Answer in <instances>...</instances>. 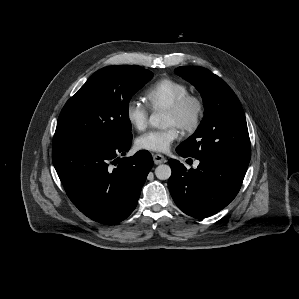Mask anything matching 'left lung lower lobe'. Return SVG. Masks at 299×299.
Instances as JSON below:
<instances>
[{
	"label": "left lung lower lobe",
	"mask_w": 299,
	"mask_h": 299,
	"mask_svg": "<svg viewBox=\"0 0 299 299\" xmlns=\"http://www.w3.org/2000/svg\"><path fill=\"white\" fill-rule=\"evenodd\" d=\"M182 157H189L176 148ZM200 161L197 169H189L170 159L172 175L168 186L181 211L195 218L209 217L226 207L237 195L248 164L228 160Z\"/></svg>",
	"instance_id": "1"
}]
</instances>
